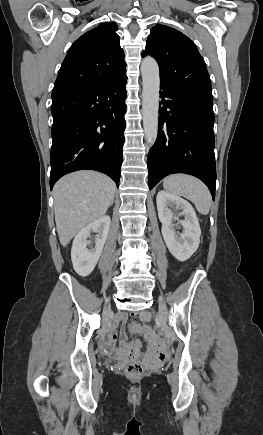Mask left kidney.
<instances>
[{"label":"left kidney","mask_w":263,"mask_h":435,"mask_svg":"<svg viewBox=\"0 0 263 435\" xmlns=\"http://www.w3.org/2000/svg\"><path fill=\"white\" fill-rule=\"evenodd\" d=\"M158 217L162 223V236L170 253L178 261H186L197 250L200 243L201 229L195 210L185 199L161 190L156 197ZM182 210L180 215L184 216L179 220L174 210ZM181 225L182 233L176 232Z\"/></svg>","instance_id":"5707ae66"}]
</instances>
